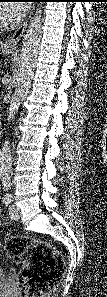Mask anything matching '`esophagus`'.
Wrapping results in <instances>:
<instances>
[{"instance_id":"esophagus-1","label":"esophagus","mask_w":107,"mask_h":297,"mask_svg":"<svg viewBox=\"0 0 107 297\" xmlns=\"http://www.w3.org/2000/svg\"><path fill=\"white\" fill-rule=\"evenodd\" d=\"M32 8H34V6H32ZM26 26H27V20L23 22V24H21V26H19L15 30V32L8 38V40L5 43L6 48L16 47V45L18 44V42L20 41V39L22 38L25 32Z\"/></svg>"}]
</instances>
